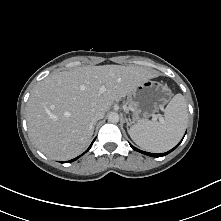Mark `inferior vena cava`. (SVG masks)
<instances>
[{
    "label": "inferior vena cava",
    "instance_id": "602c4592",
    "mask_svg": "<svg viewBox=\"0 0 221 221\" xmlns=\"http://www.w3.org/2000/svg\"><path fill=\"white\" fill-rule=\"evenodd\" d=\"M104 114L105 113L103 111H97L96 113H94L92 121L95 123L96 121L102 119L104 117Z\"/></svg>",
    "mask_w": 221,
    "mask_h": 221
}]
</instances>
